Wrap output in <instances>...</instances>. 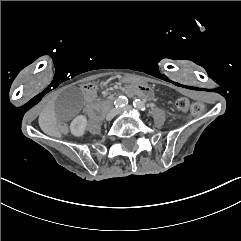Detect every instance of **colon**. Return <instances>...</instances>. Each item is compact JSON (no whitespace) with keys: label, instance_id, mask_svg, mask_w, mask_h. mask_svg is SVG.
<instances>
[{"label":"colon","instance_id":"1","mask_svg":"<svg viewBox=\"0 0 241 241\" xmlns=\"http://www.w3.org/2000/svg\"><path fill=\"white\" fill-rule=\"evenodd\" d=\"M177 109L183 112H188L191 109L195 114H202L204 112V105L200 102L191 105L190 101L185 98L178 99L176 102Z\"/></svg>","mask_w":241,"mask_h":241}]
</instances>
